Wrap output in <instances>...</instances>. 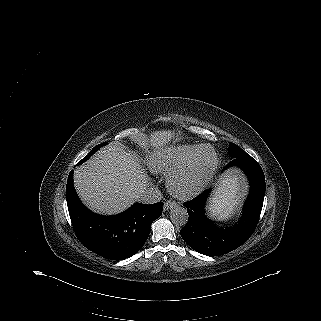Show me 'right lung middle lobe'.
I'll list each match as a JSON object with an SVG mask.
<instances>
[{
    "label": "right lung middle lobe",
    "instance_id": "1",
    "mask_svg": "<svg viewBox=\"0 0 321 321\" xmlns=\"http://www.w3.org/2000/svg\"><path fill=\"white\" fill-rule=\"evenodd\" d=\"M106 145V143H102V144H99L97 145L96 147H94L89 153L87 156H85L78 164H81L83 162H85L95 151H97L100 147Z\"/></svg>",
    "mask_w": 321,
    "mask_h": 321
}]
</instances>
